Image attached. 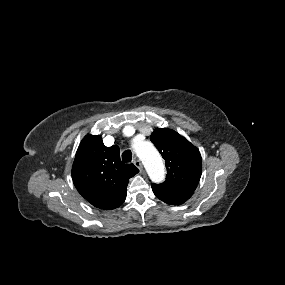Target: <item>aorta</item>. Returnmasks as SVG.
<instances>
[{
    "label": "aorta",
    "mask_w": 285,
    "mask_h": 285,
    "mask_svg": "<svg viewBox=\"0 0 285 285\" xmlns=\"http://www.w3.org/2000/svg\"><path fill=\"white\" fill-rule=\"evenodd\" d=\"M134 149L143 162L148 176L154 183H161L165 179V167L162 158L152 143L148 141H137Z\"/></svg>",
    "instance_id": "762f6f07"
}]
</instances>
